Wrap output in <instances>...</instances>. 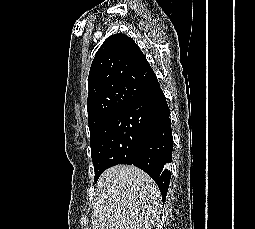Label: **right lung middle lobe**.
Instances as JSON below:
<instances>
[{
    "label": "right lung middle lobe",
    "instance_id": "1",
    "mask_svg": "<svg viewBox=\"0 0 255 229\" xmlns=\"http://www.w3.org/2000/svg\"><path fill=\"white\" fill-rule=\"evenodd\" d=\"M143 119L124 109L101 123L91 134V158L95 182L107 168L129 164L135 157L143 133Z\"/></svg>",
    "mask_w": 255,
    "mask_h": 229
}]
</instances>
